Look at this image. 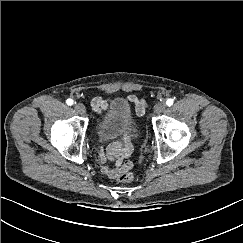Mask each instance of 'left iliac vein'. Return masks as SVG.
I'll list each match as a JSON object with an SVG mask.
<instances>
[{
  "instance_id": "1",
  "label": "left iliac vein",
  "mask_w": 243,
  "mask_h": 243,
  "mask_svg": "<svg viewBox=\"0 0 243 243\" xmlns=\"http://www.w3.org/2000/svg\"><path fill=\"white\" fill-rule=\"evenodd\" d=\"M165 108H166L165 103L159 102L154 106V113L158 115V114L162 113L165 110Z\"/></svg>"
}]
</instances>
